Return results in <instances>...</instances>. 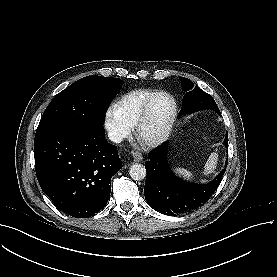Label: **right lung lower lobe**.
<instances>
[{"instance_id": "right-lung-lower-lobe-1", "label": "right lung lower lobe", "mask_w": 277, "mask_h": 277, "mask_svg": "<svg viewBox=\"0 0 277 277\" xmlns=\"http://www.w3.org/2000/svg\"><path fill=\"white\" fill-rule=\"evenodd\" d=\"M35 170L43 192L66 214L91 217L108 202L112 176L121 169L117 147L103 126L36 132Z\"/></svg>"}]
</instances>
